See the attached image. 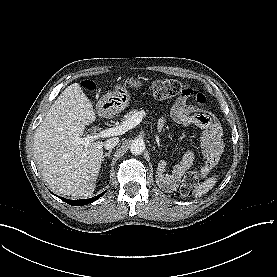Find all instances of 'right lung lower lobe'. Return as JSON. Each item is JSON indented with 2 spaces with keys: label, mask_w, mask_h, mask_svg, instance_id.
I'll return each instance as SVG.
<instances>
[{
  "label": "right lung lower lobe",
  "mask_w": 277,
  "mask_h": 277,
  "mask_svg": "<svg viewBox=\"0 0 277 277\" xmlns=\"http://www.w3.org/2000/svg\"><path fill=\"white\" fill-rule=\"evenodd\" d=\"M105 192L106 191H104L103 193H101V194H99V195H97L95 197L89 198V199H82V200H69V199H66V198H61V199L64 202H67L70 205L82 206V205H86V204L92 203L95 200L99 199Z\"/></svg>",
  "instance_id": "1"
}]
</instances>
